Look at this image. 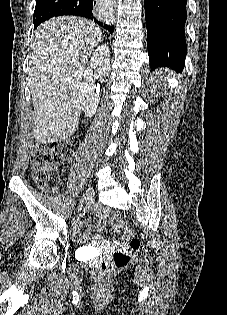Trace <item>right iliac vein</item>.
<instances>
[{
    "label": "right iliac vein",
    "instance_id": "right-iliac-vein-1",
    "mask_svg": "<svg viewBox=\"0 0 227 315\" xmlns=\"http://www.w3.org/2000/svg\"><path fill=\"white\" fill-rule=\"evenodd\" d=\"M93 189L92 188H89L87 191H86V194H85V200L86 199H90L92 196H93ZM83 207V201L81 202V204L79 205V208L78 210H81Z\"/></svg>",
    "mask_w": 227,
    "mask_h": 315
}]
</instances>
